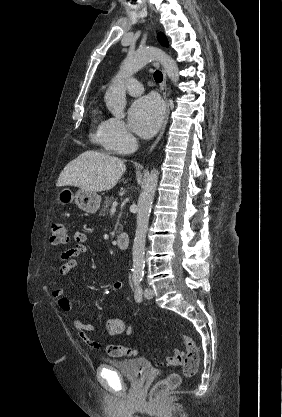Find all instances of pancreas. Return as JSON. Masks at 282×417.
<instances>
[{
  "mask_svg": "<svg viewBox=\"0 0 282 417\" xmlns=\"http://www.w3.org/2000/svg\"><path fill=\"white\" fill-rule=\"evenodd\" d=\"M112 198H114V196H110V198H105V204H103V209L101 211V215H103V213H105V211H109V206L112 202ZM122 229H123V227H122V225H120L117 233H122Z\"/></svg>",
  "mask_w": 282,
  "mask_h": 417,
  "instance_id": "cf45deb5",
  "label": "pancreas"
}]
</instances>
